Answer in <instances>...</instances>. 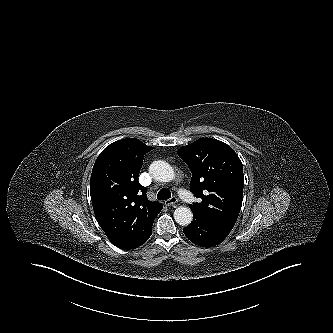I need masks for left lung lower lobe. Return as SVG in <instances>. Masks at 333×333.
Wrapping results in <instances>:
<instances>
[{"label": "left lung lower lobe", "mask_w": 333, "mask_h": 333, "mask_svg": "<svg viewBox=\"0 0 333 333\" xmlns=\"http://www.w3.org/2000/svg\"><path fill=\"white\" fill-rule=\"evenodd\" d=\"M231 230V228L216 223L198 213H193V221L183 229L186 237L201 247L218 245Z\"/></svg>", "instance_id": "left-lung-lower-lobe-1"}]
</instances>
